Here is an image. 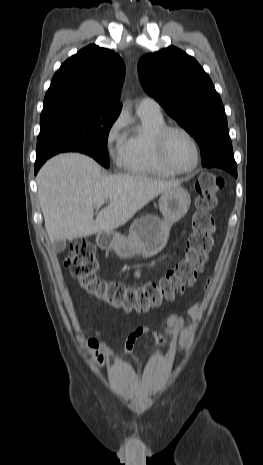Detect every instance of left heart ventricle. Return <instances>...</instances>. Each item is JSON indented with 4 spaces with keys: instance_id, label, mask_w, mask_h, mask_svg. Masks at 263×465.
<instances>
[{
    "instance_id": "obj_1",
    "label": "left heart ventricle",
    "mask_w": 263,
    "mask_h": 465,
    "mask_svg": "<svg viewBox=\"0 0 263 465\" xmlns=\"http://www.w3.org/2000/svg\"><path fill=\"white\" fill-rule=\"evenodd\" d=\"M167 157L174 166L188 169L195 162V148L185 135L174 132L167 140Z\"/></svg>"
}]
</instances>
